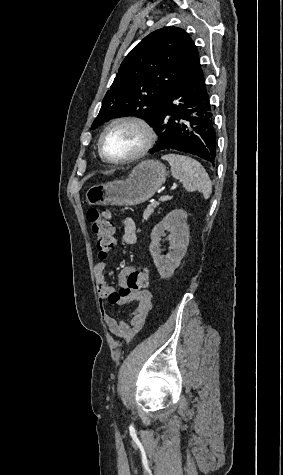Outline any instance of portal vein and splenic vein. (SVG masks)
<instances>
[{
	"mask_svg": "<svg viewBox=\"0 0 283 475\" xmlns=\"http://www.w3.org/2000/svg\"><path fill=\"white\" fill-rule=\"evenodd\" d=\"M165 196H166L165 194H161V195H159V197H158V198H159L160 202H162V200H164Z\"/></svg>",
	"mask_w": 283,
	"mask_h": 475,
	"instance_id": "obj_1",
	"label": "portal vein and splenic vein"
}]
</instances>
